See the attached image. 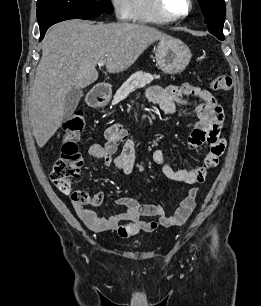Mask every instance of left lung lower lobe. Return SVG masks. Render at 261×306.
<instances>
[{
  "instance_id": "obj_1",
  "label": "left lung lower lobe",
  "mask_w": 261,
  "mask_h": 306,
  "mask_svg": "<svg viewBox=\"0 0 261 306\" xmlns=\"http://www.w3.org/2000/svg\"><path fill=\"white\" fill-rule=\"evenodd\" d=\"M216 36L219 40H224V35H214Z\"/></svg>"
}]
</instances>
